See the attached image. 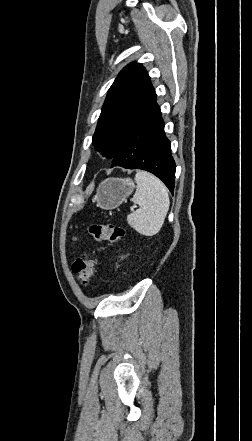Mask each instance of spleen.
I'll use <instances>...</instances> for the list:
<instances>
[{
	"mask_svg": "<svg viewBox=\"0 0 252 441\" xmlns=\"http://www.w3.org/2000/svg\"><path fill=\"white\" fill-rule=\"evenodd\" d=\"M135 181L137 186L132 202L140 208L127 216V222L138 233L153 236L160 231L169 210L168 190L157 177L146 171H138Z\"/></svg>",
	"mask_w": 252,
	"mask_h": 441,
	"instance_id": "1",
	"label": "spleen"
}]
</instances>
